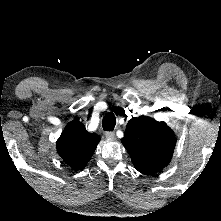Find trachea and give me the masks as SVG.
<instances>
[{
	"mask_svg": "<svg viewBox=\"0 0 221 221\" xmlns=\"http://www.w3.org/2000/svg\"><path fill=\"white\" fill-rule=\"evenodd\" d=\"M103 130L112 131L116 125V118L113 113H107L102 120Z\"/></svg>",
	"mask_w": 221,
	"mask_h": 221,
	"instance_id": "trachea-1",
	"label": "trachea"
}]
</instances>
